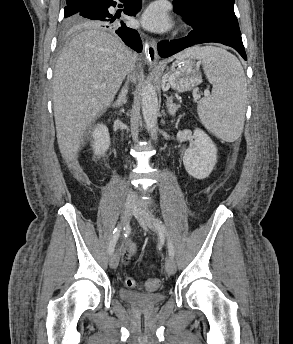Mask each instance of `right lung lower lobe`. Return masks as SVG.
<instances>
[{
    "instance_id": "right-lung-lower-lobe-1",
    "label": "right lung lower lobe",
    "mask_w": 293,
    "mask_h": 344,
    "mask_svg": "<svg viewBox=\"0 0 293 344\" xmlns=\"http://www.w3.org/2000/svg\"><path fill=\"white\" fill-rule=\"evenodd\" d=\"M123 1V0H120ZM116 2L113 0H89L84 2L78 14L91 21H97L98 25L114 30L126 45L137 52L142 51V42L138 32L125 25L123 21L117 19L120 16L109 13L110 6L115 7ZM141 8V0L125 1L124 13L129 16H135Z\"/></svg>"
}]
</instances>
